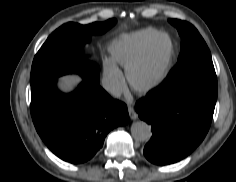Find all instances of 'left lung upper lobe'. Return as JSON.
I'll return each mask as SVG.
<instances>
[{
	"instance_id": "obj_1",
	"label": "left lung upper lobe",
	"mask_w": 236,
	"mask_h": 182,
	"mask_svg": "<svg viewBox=\"0 0 236 182\" xmlns=\"http://www.w3.org/2000/svg\"><path fill=\"white\" fill-rule=\"evenodd\" d=\"M169 22L177 28L181 36V52L176 66L157 90L167 96L195 93L217 98V77L204 39L186 21L169 19Z\"/></svg>"
}]
</instances>
